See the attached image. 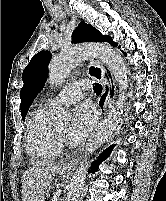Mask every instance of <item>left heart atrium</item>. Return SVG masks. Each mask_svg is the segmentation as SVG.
Returning a JSON list of instances; mask_svg holds the SVG:
<instances>
[{
	"label": "left heart atrium",
	"instance_id": "left-heart-atrium-1",
	"mask_svg": "<svg viewBox=\"0 0 166 201\" xmlns=\"http://www.w3.org/2000/svg\"><path fill=\"white\" fill-rule=\"evenodd\" d=\"M97 116L94 108L89 104L76 107L71 116L68 129V139L72 144H80L93 128Z\"/></svg>",
	"mask_w": 166,
	"mask_h": 201
}]
</instances>
